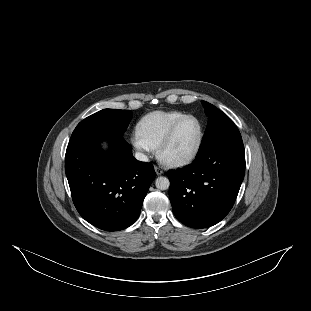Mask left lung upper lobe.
Wrapping results in <instances>:
<instances>
[{
  "label": "left lung upper lobe",
  "instance_id": "1",
  "mask_svg": "<svg viewBox=\"0 0 311 311\" xmlns=\"http://www.w3.org/2000/svg\"><path fill=\"white\" fill-rule=\"evenodd\" d=\"M201 102L208 117V124L198 152L204 151L224 139L241 137L238 128L225 113L206 101Z\"/></svg>",
  "mask_w": 311,
  "mask_h": 311
}]
</instances>
